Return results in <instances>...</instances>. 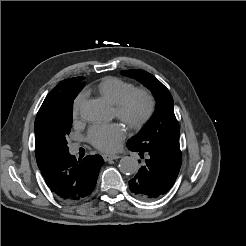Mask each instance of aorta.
Here are the masks:
<instances>
[{
	"instance_id": "1",
	"label": "aorta",
	"mask_w": 246,
	"mask_h": 246,
	"mask_svg": "<svg viewBox=\"0 0 246 246\" xmlns=\"http://www.w3.org/2000/svg\"><path fill=\"white\" fill-rule=\"evenodd\" d=\"M81 117L87 121H98L104 116V106L97 99L84 102L81 107ZM139 164L136 158L125 156L120 160L119 170L126 175H132L138 171Z\"/></svg>"
}]
</instances>
